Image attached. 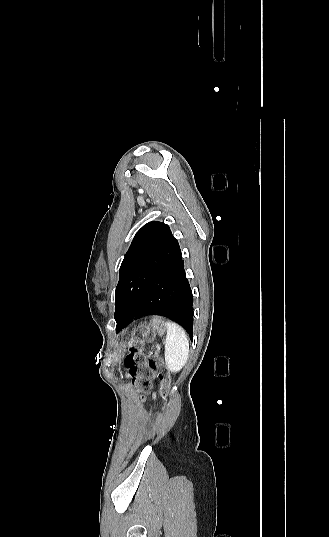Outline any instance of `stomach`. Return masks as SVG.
I'll list each match as a JSON object with an SVG mask.
<instances>
[{
    "instance_id": "0dacf381",
    "label": "stomach",
    "mask_w": 329,
    "mask_h": 537,
    "mask_svg": "<svg viewBox=\"0 0 329 537\" xmlns=\"http://www.w3.org/2000/svg\"><path fill=\"white\" fill-rule=\"evenodd\" d=\"M146 329L153 332L154 334L162 336L167 331V322L161 317H153L150 323L146 325ZM125 347V343H121L120 352L125 351Z\"/></svg>"
}]
</instances>
